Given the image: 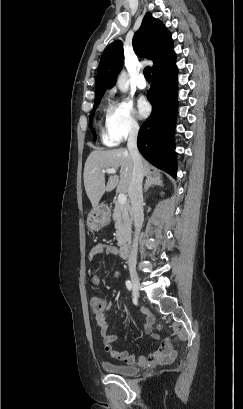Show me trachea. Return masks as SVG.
Masks as SVG:
<instances>
[{
  "label": "trachea",
  "instance_id": "1",
  "mask_svg": "<svg viewBox=\"0 0 243 409\" xmlns=\"http://www.w3.org/2000/svg\"><path fill=\"white\" fill-rule=\"evenodd\" d=\"M144 76H145V79L146 80H151V69H150V67L149 66H146L145 68H144Z\"/></svg>",
  "mask_w": 243,
  "mask_h": 409
}]
</instances>
